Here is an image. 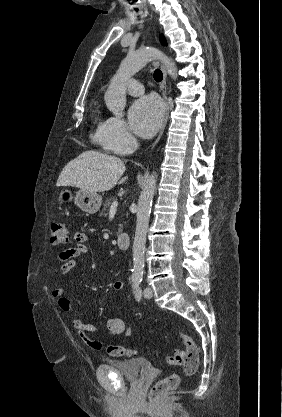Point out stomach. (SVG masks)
<instances>
[{"label":"stomach","mask_w":282,"mask_h":417,"mask_svg":"<svg viewBox=\"0 0 282 417\" xmlns=\"http://www.w3.org/2000/svg\"><path fill=\"white\" fill-rule=\"evenodd\" d=\"M75 200V204L79 206L81 211H85V213H89V215H94L99 211L102 196L101 194H97V192H91V190H78L75 196H72L71 190L68 188H63L61 192L58 194V202L61 204H66V202H71V200Z\"/></svg>","instance_id":"0dacf381"}]
</instances>
